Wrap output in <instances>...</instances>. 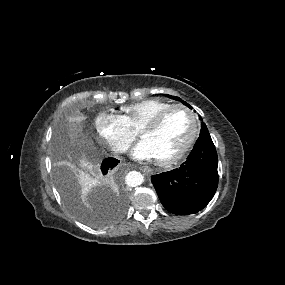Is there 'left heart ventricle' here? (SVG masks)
<instances>
[{"instance_id":"left-heart-ventricle-1","label":"left heart ventricle","mask_w":285,"mask_h":285,"mask_svg":"<svg viewBox=\"0 0 285 285\" xmlns=\"http://www.w3.org/2000/svg\"><path fill=\"white\" fill-rule=\"evenodd\" d=\"M192 128L189 116L178 110L172 113L158 129L140 130V136L148 143L155 159L163 160L175 155L186 144Z\"/></svg>"}]
</instances>
